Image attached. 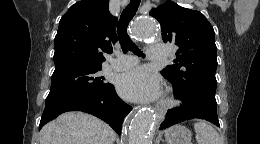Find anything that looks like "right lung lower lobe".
Returning a JSON list of instances; mask_svg holds the SVG:
<instances>
[{"instance_id":"right-lung-lower-lobe-1","label":"right lung lower lobe","mask_w":260,"mask_h":144,"mask_svg":"<svg viewBox=\"0 0 260 144\" xmlns=\"http://www.w3.org/2000/svg\"><path fill=\"white\" fill-rule=\"evenodd\" d=\"M132 107L123 102L116 94L115 88L91 96L63 95L46 99L39 129L46 123L67 111H83L108 123L116 133L121 134L124 117Z\"/></svg>"}]
</instances>
